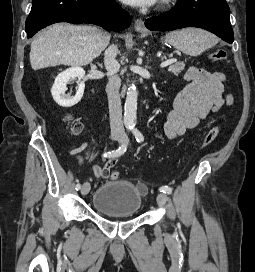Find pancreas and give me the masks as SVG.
<instances>
[{"mask_svg":"<svg viewBox=\"0 0 255 272\" xmlns=\"http://www.w3.org/2000/svg\"><path fill=\"white\" fill-rule=\"evenodd\" d=\"M185 64L183 62H176L168 67V71L174 75H179L184 70Z\"/></svg>","mask_w":255,"mask_h":272,"instance_id":"cf45deb5","label":"pancreas"}]
</instances>
